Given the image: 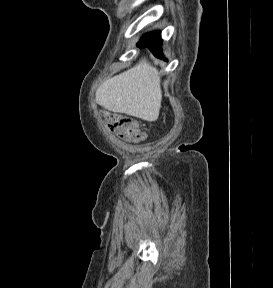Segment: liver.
I'll return each mask as SVG.
<instances>
[{
  "instance_id": "obj_1",
  "label": "liver",
  "mask_w": 273,
  "mask_h": 288,
  "mask_svg": "<svg viewBox=\"0 0 273 288\" xmlns=\"http://www.w3.org/2000/svg\"><path fill=\"white\" fill-rule=\"evenodd\" d=\"M95 99L104 109L148 122L158 119L162 101L158 70L146 59L133 68L106 80Z\"/></svg>"
}]
</instances>
